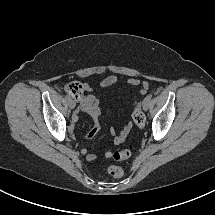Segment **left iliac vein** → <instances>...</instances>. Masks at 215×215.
Here are the masks:
<instances>
[{
    "instance_id": "left-iliac-vein-1",
    "label": "left iliac vein",
    "mask_w": 215,
    "mask_h": 215,
    "mask_svg": "<svg viewBox=\"0 0 215 215\" xmlns=\"http://www.w3.org/2000/svg\"><path fill=\"white\" fill-rule=\"evenodd\" d=\"M149 107H150V102L149 101H147L144 105H142V108H143L144 111H147L149 109Z\"/></svg>"
}]
</instances>
